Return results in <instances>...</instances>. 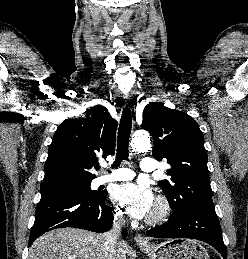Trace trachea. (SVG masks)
<instances>
[{"instance_id":"trachea-1","label":"trachea","mask_w":248,"mask_h":259,"mask_svg":"<svg viewBox=\"0 0 248 259\" xmlns=\"http://www.w3.org/2000/svg\"><path fill=\"white\" fill-rule=\"evenodd\" d=\"M132 127L131 111L128 107L123 109L122 117L119 125L118 139H117V153L116 159L112 168H117L123 160H128L129 157V137Z\"/></svg>"}]
</instances>
